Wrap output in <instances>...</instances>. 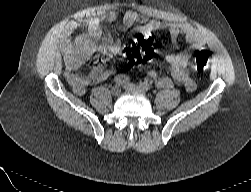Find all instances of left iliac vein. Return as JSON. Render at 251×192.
Wrapping results in <instances>:
<instances>
[{"label": "left iliac vein", "mask_w": 251, "mask_h": 192, "mask_svg": "<svg viewBox=\"0 0 251 192\" xmlns=\"http://www.w3.org/2000/svg\"><path fill=\"white\" fill-rule=\"evenodd\" d=\"M123 88L128 92H138L140 94H145L146 93V91L143 88H141L138 85L132 84V83L124 84Z\"/></svg>", "instance_id": "obj_1"}]
</instances>
